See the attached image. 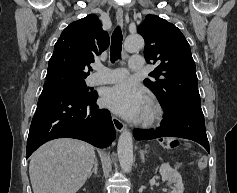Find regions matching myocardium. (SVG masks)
<instances>
[{
  "instance_id": "myocardium-1",
  "label": "myocardium",
  "mask_w": 237,
  "mask_h": 193,
  "mask_svg": "<svg viewBox=\"0 0 237 193\" xmlns=\"http://www.w3.org/2000/svg\"><path fill=\"white\" fill-rule=\"evenodd\" d=\"M163 117V110L161 106L154 100L150 102L148 112L143 118L145 125H152L158 123Z\"/></svg>"
}]
</instances>
